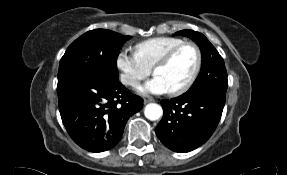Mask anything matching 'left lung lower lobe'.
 <instances>
[{
    "instance_id": "left-lung-lower-lobe-1",
    "label": "left lung lower lobe",
    "mask_w": 287,
    "mask_h": 175,
    "mask_svg": "<svg viewBox=\"0 0 287 175\" xmlns=\"http://www.w3.org/2000/svg\"><path fill=\"white\" fill-rule=\"evenodd\" d=\"M225 99L226 94L203 91L162 100L163 118L155 130L157 137L175 152L198 148L215 131Z\"/></svg>"
}]
</instances>
